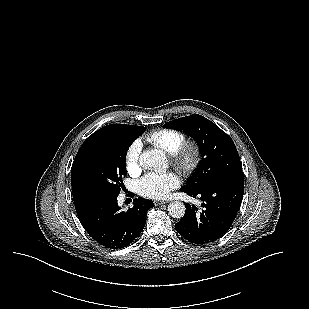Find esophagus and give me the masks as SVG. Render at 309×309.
I'll return each mask as SVG.
<instances>
[{"mask_svg": "<svg viewBox=\"0 0 309 309\" xmlns=\"http://www.w3.org/2000/svg\"><path fill=\"white\" fill-rule=\"evenodd\" d=\"M166 203H168V202L167 201H159V200L154 201L155 206H160V205H163V204H166Z\"/></svg>", "mask_w": 309, "mask_h": 309, "instance_id": "esophagus-1", "label": "esophagus"}]
</instances>
